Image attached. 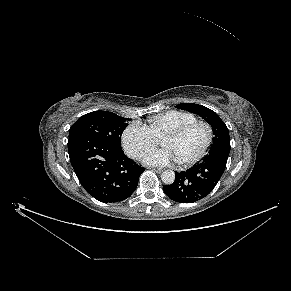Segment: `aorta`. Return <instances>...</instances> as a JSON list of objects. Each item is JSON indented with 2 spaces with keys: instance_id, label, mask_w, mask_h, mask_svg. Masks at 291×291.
<instances>
[{
  "instance_id": "762f6f07",
  "label": "aorta",
  "mask_w": 291,
  "mask_h": 291,
  "mask_svg": "<svg viewBox=\"0 0 291 291\" xmlns=\"http://www.w3.org/2000/svg\"><path fill=\"white\" fill-rule=\"evenodd\" d=\"M161 180L166 185L173 184L175 181V173L172 170H165L161 174Z\"/></svg>"
}]
</instances>
